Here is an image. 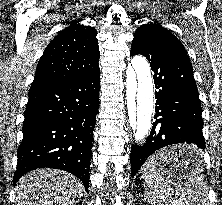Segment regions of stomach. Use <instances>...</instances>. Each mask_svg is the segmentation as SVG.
Instances as JSON below:
<instances>
[{
	"label": "stomach",
	"mask_w": 222,
	"mask_h": 205,
	"mask_svg": "<svg viewBox=\"0 0 222 205\" xmlns=\"http://www.w3.org/2000/svg\"><path fill=\"white\" fill-rule=\"evenodd\" d=\"M197 150V147L194 145H174L169 146L157 154L161 155L162 157H173L175 154L180 153L182 151H194ZM203 163L202 160L198 161L192 165H171L169 161L164 162L163 168L168 171V173L173 177L174 180H182L187 178L188 176L194 173H201L203 171Z\"/></svg>",
	"instance_id": "stomach-1"
}]
</instances>
